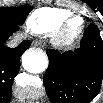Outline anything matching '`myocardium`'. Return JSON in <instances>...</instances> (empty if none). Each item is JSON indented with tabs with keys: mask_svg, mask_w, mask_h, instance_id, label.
Returning a JSON list of instances; mask_svg holds the SVG:
<instances>
[{
	"mask_svg": "<svg viewBox=\"0 0 103 103\" xmlns=\"http://www.w3.org/2000/svg\"><path fill=\"white\" fill-rule=\"evenodd\" d=\"M79 20L78 27H73V22ZM85 19L79 15H70L67 17L60 26L54 31V40L60 44H68L78 38L85 29Z\"/></svg>",
	"mask_w": 103,
	"mask_h": 103,
	"instance_id": "myocardium-1",
	"label": "myocardium"
}]
</instances>
